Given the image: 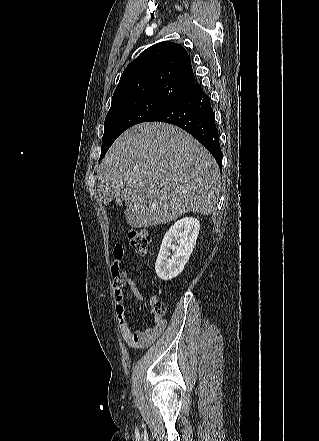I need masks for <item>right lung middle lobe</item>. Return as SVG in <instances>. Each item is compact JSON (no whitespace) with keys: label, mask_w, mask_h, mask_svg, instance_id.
Returning <instances> with one entry per match:
<instances>
[{"label":"right lung middle lobe","mask_w":319,"mask_h":441,"mask_svg":"<svg viewBox=\"0 0 319 441\" xmlns=\"http://www.w3.org/2000/svg\"><path fill=\"white\" fill-rule=\"evenodd\" d=\"M171 101L157 97H139L112 106L105 118L101 160L115 139L126 129L148 121Z\"/></svg>","instance_id":"1"}]
</instances>
